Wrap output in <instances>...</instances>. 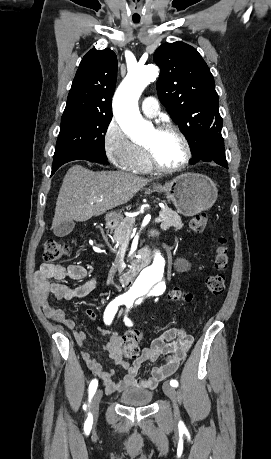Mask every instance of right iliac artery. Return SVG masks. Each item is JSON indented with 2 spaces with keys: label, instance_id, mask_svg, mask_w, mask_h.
Masks as SVG:
<instances>
[{
  "label": "right iliac artery",
  "instance_id": "82829eb1",
  "mask_svg": "<svg viewBox=\"0 0 271 459\" xmlns=\"http://www.w3.org/2000/svg\"><path fill=\"white\" fill-rule=\"evenodd\" d=\"M127 303H130V302L125 298H116L112 302H110L109 305L106 307L105 312H104V322H105V324L106 325H110L112 320H113V318H114V316H115V314H116V312H117V310H118V306H120L122 304H127ZM97 386H98L97 379L92 380L90 385H89V402H91V399H92L93 395L96 392ZM86 422H89L90 424H92V422H93V418H92V415L90 413L88 414V418H87Z\"/></svg>",
  "mask_w": 271,
  "mask_h": 459
}]
</instances>
